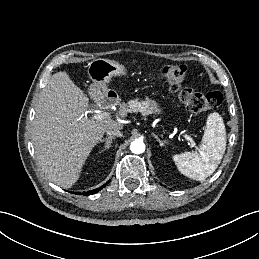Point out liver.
I'll use <instances>...</instances> for the list:
<instances>
[{
  "instance_id": "obj_1",
  "label": "liver",
  "mask_w": 259,
  "mask_h": 259,
  "mask_svg": "<svg viewBox=\"0 0 259 259\" xmlns=\"http://www.w3.org/2000/svg\"><path fill=\"white\" fill-rule=\"evenodd\" d=\"M89 98L66 72H57L42 90L33 120L35 155L48 179L62 188L73 186L93 148L107 129H122L120 121L86 118ZM120 105L118 115L127 116Z\"/></svg>"
}]
</instances>
